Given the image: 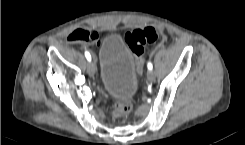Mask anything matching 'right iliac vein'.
<instances>
[{"mask_svg": "<svg viewBox=\"0 0 245 145\" xmlns=\"http://www.w3.org/2000/svg\"><path fill=\"white\" fill-rule=\"evenodd\" d=\"M95 70H96L95 64L94 63H89L88 64V68H87V72H88V74H89L90 77H94Z\"/></svg>", "mask_w": 245, "mask_h": 145, "instance_id": "obj_1", "label": "right iliac vein"}]
</instances>
